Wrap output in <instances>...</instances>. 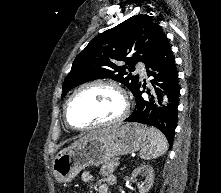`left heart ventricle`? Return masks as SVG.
I'll use <instances>...</instances> for the list:
<instances>
[{
  "label": "left heart ventricle",
  "mask_w": 221,
  "mask_h": 193,
  "mask_svg": "<svg viewBox=\"0 0 221 193\" xmlns=\"http://www.w3.org/2000/svg\"><path fill=\"white\" fill-rule=\"evenodd\" d=\"M121 108V98L114 89L91 86L74 97L69 105L68 116L74 125L85 127L113 119Z\"/></svg>",
  "instance_id": "obj_1"
}]
</instances>
